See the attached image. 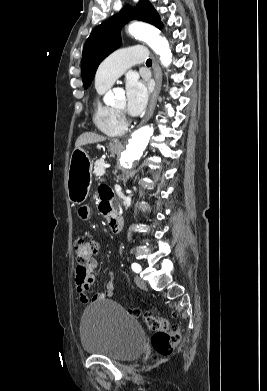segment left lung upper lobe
<instances>
[{"mask_svg":"<svg viewBox=\"0 0 267 391\" xmlns=\"http://www.w3.org/2000/svg\"><path fill=\"white\" fill-rule=\"evenodd\" d=\"M141 20L162 28L160 17L148 0H140L135 8L126 5L116 14L97 26L87 39L81 61L84 88L87 89L98 65L121 44L120 31L129 20Z\"/></svg>","mask_w":267,"mask_h":391,"instance_id":"left-lung-upper-lobe-1","label":"left lung upper lobe"}]
</instances>
